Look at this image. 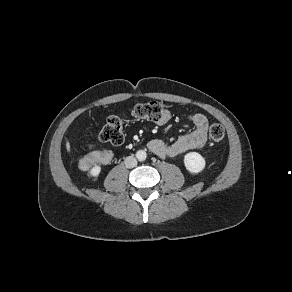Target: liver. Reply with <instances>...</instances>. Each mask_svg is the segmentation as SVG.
<instances>
[{
	"label": "liver",
	"instance_id": "obj_1",
	"mask_svg": "<svg viewBox=\"0 0 292 292\" xmlns=\"http://www.w3.org/2000/svg\"><path fill=\"white\" fill-rule=\"evenodd\" d=\"M66 149H67L68 152H70V143H69V141L66 142Z\"/></svg>",
	"mask_w": 292,
	"mask_h": 292
}]
</instances>
